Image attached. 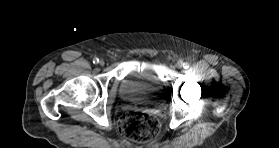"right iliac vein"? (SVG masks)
I'll use <instances>...</instances> for the list:
<instances>
[{
  "instance_id": "obj_1",
  "label": "right iliac vein",
  "mask_w": 279,
  "mask_h": 148,
  "mask_svg": "<svg viewBox=\"0 0 279 148\" xmlns=\"http://www.w3.org/2000/svg\"><path fill=\"white\" fill-rule=\"evenodd\" d=\"M105 63L104 61H100V65L103 66Z\"/></svg>"
}]
</instances>
